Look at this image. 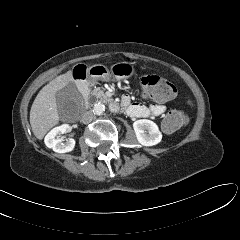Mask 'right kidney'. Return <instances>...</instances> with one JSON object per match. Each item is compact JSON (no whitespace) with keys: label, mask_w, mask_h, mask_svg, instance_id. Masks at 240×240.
<instances>
[{"label":"right kidney","mask_w":240,"mask_h":240,"mask_svg":"<svg viewBox=\"0 0 240 240\" xmlns=\"http://www.w3.org/2000/svg\"><path fill=\"white\" fill-rule=\"evenodd\" d=\"M71 130V127L68 124H63L61 126L53 128L44 139L45 145L48 148L53 149L57 153H66L70 152L75 147V140L70 138L66 142H63L62 138H59L58 135L67 133Z\"/></svg>","instance_id":"obj_1"}]
</instances>
